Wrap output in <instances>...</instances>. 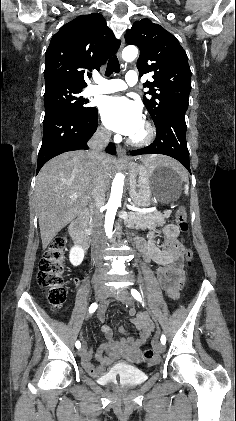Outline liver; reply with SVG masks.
Wrapping results in <instances>:
<instances>
[{
  "label": "liver",
  "instance_id": "1",
  "mask_svg": "<svg viewBox=\"0 0 236 421\" xmlns=\"http://www.w3.org/2000/svg\"><path fill=\"white\" fill-rule=\"evenodd\" d=\"M145 166L172 164L177 170L183 166L171 156L140 154ZM85 150H70L48 160L36 176V211L39 219L42 249L45 251L57 233L85 211L93 200L95 184L101 182L107 190L115 168V158L102 154L97 166ZM76 194L73 200L70 196Z\"/></svg>",
  "mask_w": 236,
  "mask_h": 421
}]
</instances>
